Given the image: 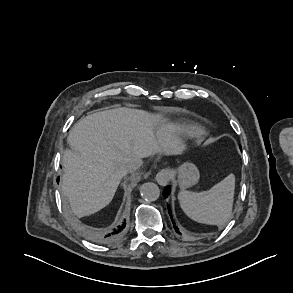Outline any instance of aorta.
<instances>
[{
    "mask_svg": "<svg viewBox=\"0 0 293 293\" xmlns=\"http://www.w3.org/2000/svg\"><path fill=\"white\" fill-rule=\"evenodd\" d=\"M141 197L148 202L156 201L160 196V189L157 184L147 182L140 187Z\"/></svg>",
    "mask_w": 293,
    "mask_h": 293,
    "instance_id": "aorta-1",
    "label": "aorta"
}]
</instances>
